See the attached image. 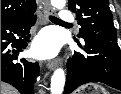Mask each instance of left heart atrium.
Here are the masks:
<instances>
[{
    "mask_svg": "<svg viewBox=\"0 0 121 94\" xmlns=\"http://www.w3.org/2000/svg\"><path fill=\"white\" fill-rule=\"evenodd\" d=\"M58 51V41L51 33L42 34L36 41L32 53L36 56L51 57Z\"/></svg>",
    "mask_w": 121,
    "mask_h": 94,
    "instance_id": "39dd6f15",
    "label": "left heart atrium"
}]
</instances>
